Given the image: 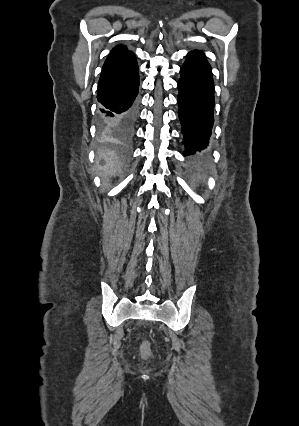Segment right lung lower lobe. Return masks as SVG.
<instances>
[{
	"label": "right lung lower lobe",
	"instance_id": "obj_1",
	"mask_svg": "<svg viewBox=\"0 0 299 426\" xmlns=\"http://www.w3.org/2000/svg\"><path fill=\"white\" fill-rule=\"evenodd\" d=\"M138 87V65L132 52L105 61L97 93L100 128L104 133L120 138L132 135Z\"/></svg>",
	"mask_w": 299,
	"mask_h": 426
}]
</instances>
